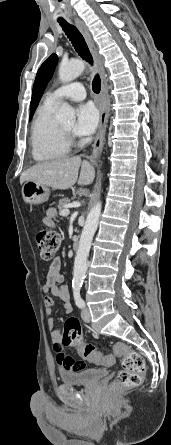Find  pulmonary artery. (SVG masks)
<instances>
[{
  "label": "pulmonary artery",
  "mask_w": 171,
  "mask_h": 445,
  "mask_svg": "<svg viewBox=\"0 0 171 445\" xmlns=\"http://www.w3.org/2000/svg\"><path fill=\"white\" fill-rule=\"evenodd\" d=\"M86 92L82 84L74 82L54 89L49 92L45 102L49 104H58L63 99L72 101H81L85 99Z\"/></svg>",
  "instance_id": "obj_1"
}]
</instances>
